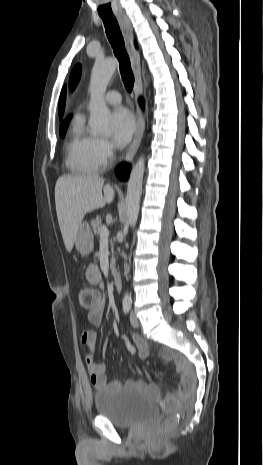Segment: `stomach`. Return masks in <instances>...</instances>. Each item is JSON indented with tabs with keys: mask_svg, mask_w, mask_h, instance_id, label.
<instances>
[{
	"mask_svg": "<svg viewBox=\"0 0 263 465\" xmlns=\"http://www.w3.org/2000/svg\"><path fill=\"white\" fill-rule=\"evenodd\" d=\"M93 234L87 222H82L75 236L76 250L82 255L87 256L93 251Z\"/></svg>",
	"mask_w": 263,
	"mask_h": 465,
	"instance_id": "stomach-1",
	"label": "stomach"
}]
</instances>
